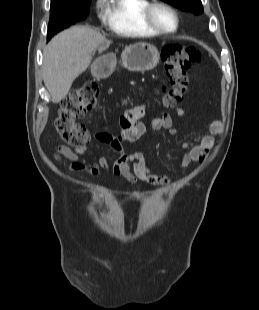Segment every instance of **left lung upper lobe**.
Here are the masks:
<instances>
[{
	"instance_id": "left-lung-upper-lobe-1",
	"label": "left lung upper lobe",
	"mask_w": 259,
	"mask_h": 310,
	"mask_svg": "<svg viewBox=\"0 0 259 310\" xmlns=\"http://www.w3.org/2000/svg\"><path fill=\"white\" fill-rule=\"evenodd\" d=\"M183 11L193 12L194 14L203 13L201 0H162Z\"/></svg>"
}]
</instances>
